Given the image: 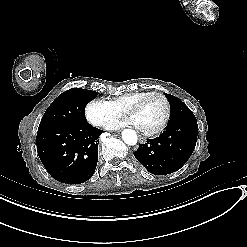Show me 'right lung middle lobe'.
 <instances>
[{
  "mask_svg": "<svg viewBox=\"0 0 247 247\" xmlns=\"http://www.w3.org/2000/svg\"><path fill=\"white\" fill-rule=\"evenodd\" d=\"M97 95L96 91L81 88L63 92L47 108L38 129L53 125L86 124L85 107Z\"/></svg>",
  "mask_w": 247,
  "mask_h": 247,
  "instance_id": "obj_1",
  "label": "right lung middle lobe"
}]
</instances>
